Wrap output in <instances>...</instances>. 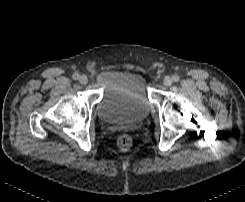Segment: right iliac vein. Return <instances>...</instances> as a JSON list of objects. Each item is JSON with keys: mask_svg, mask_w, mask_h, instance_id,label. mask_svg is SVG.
Returning <instances> with one entry per match:
<instances>
[{"mask_svg": "<svg viewBox=\"0 0 245 202\" xmlns=\"http://www.w3.org/2000/svg\"><path fill=\"white\" fill-rule=\"evenodd\" d=\"M79 82H80L82 85L87 84V82H88L87 76H86V75H81V76L79 77Z\"/></svg>", "mask_w": 245, "mask_h": 202, "instance_id": "63e3f726", "label": "right iliac vein"}]
</instances>
